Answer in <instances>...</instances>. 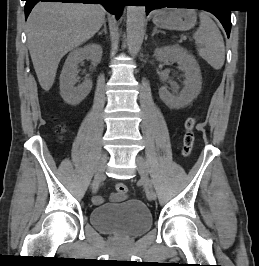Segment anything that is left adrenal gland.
Listing matches in <instances>:
<instances>
[{
	"mask_svg": "<svg viewBox=\"0 0 259 266\" xmlns=\"http://www.w3.org/2000/svg\"><path fill=\"white\" fill-rule=\"evenodd\" d=\"M156 33H164V32L163 31H160V30H157V28L154 27L152 36H154Z\"/></svg>",
	"mask_w": 259,
	"mask_h": 266,
	"instance_id": "left-adrenal-gland-1",
	"label": "left adrenal gland"
}]
</instances>
